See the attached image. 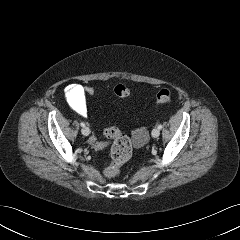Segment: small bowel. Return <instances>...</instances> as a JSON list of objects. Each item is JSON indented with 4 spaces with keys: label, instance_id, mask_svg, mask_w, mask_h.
Returning <instances> with one entry per match:
<instances>
[{
    "label": "small bowel",
    "instance_id": "1",
    "mask_svg": "<svg viewBox=\"0 0 240 240\" xmlns=\"http://www.w3.org/2000/svg\"><path fill=\"white\" fill-rule=\"evenodd\" d=\"M65 96L70 107L81 116H86V94L84 87L79 84H71L65 89ZM133 143L136 147L143 146L148 140V132L144 128H139L133 132ZM90 143L96 150L104 149L107 144L98 142L95 137L90 138Z\"/></svg>",
    "mask_w": 240,
    "mask_h": 240
}]
</instances>
